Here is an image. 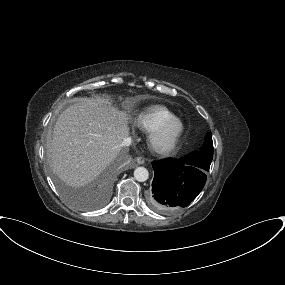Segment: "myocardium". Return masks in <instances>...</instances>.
I'll use <instances>...</instances> for the list:
<instances>
[{
    "label": "myocardium",
    "mask_w": 285,
    "mask_h": 285,
    "mask_svg": "<svg viewBox=\"0 0 285 285\" xmlns=\"http://www.w3.org/2000/svg\"><path fill=\"white\" fill-rule=\"evenodd\" d=\"M184 126L180 119L172 118L160 124L148 135V144L152 150L159 154L172 151L177 145Z\"/></svg>",
    "instance_id": "1"
}]
</instances>
